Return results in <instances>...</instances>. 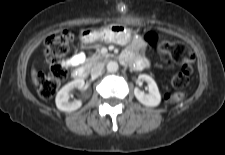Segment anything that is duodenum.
<instances>
[{"label":"duodenum","mask_w":225,"mask_h":155,"mask_svg":"<svg viewBox=\"0 0 225 155\" xmlns=\"http://www.w3.org/2000/svg\"><path fill=\"white\" fill-rule=\"evenodd\" d=\"M73 77L76 81L84 80L87 77V70L85 68H78L74 71Z\"/></svg>","instance_id":"duodenum-1"}]
</instances>
